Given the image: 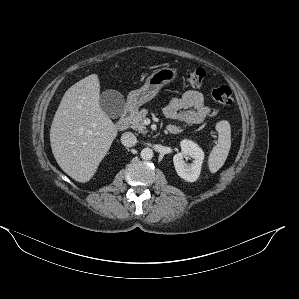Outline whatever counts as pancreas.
<instances>
[{"label": "pancreas", "mask_w": 299, "mask_h": 299, "mask_svg": "<svg viewBox=\"0 0 299 299\" xmlns=\"http://www.w3.org/2000/svg\"><path fill=\"white\" fill-rule=\"evenodd\" d=\"M148 110L147 109H142L139 111L131 120L130 122V127L139 133H146L147 129L144 124V120L147 116Z\"/></svg>", "instance_id": "cf45deb5"}]
</instances>
